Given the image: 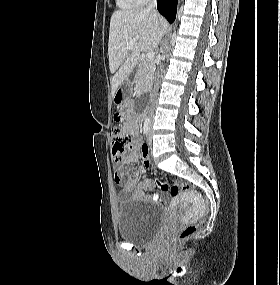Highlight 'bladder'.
Returning a JSON list of instances; mask_svg holds the SVG:
<instances>
[{
  "label": "bladder",
  "mask_w": 280,
  "mask_h": 285,
  "mask_svg": "<svg viewBox=\"0 0 280 285\" xmlns=\"http://www.w3.org/2000/svg\"><path fill=\"white\" fill-rule=\"evenodd\" d=\"M162 211L153 204L131 199L122 202L117 212L119 237L137 245H147L160 231Z\"/></svg>",
  "instance_id": "obj_1"
}]
</instances>
